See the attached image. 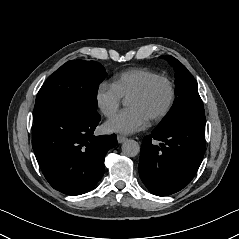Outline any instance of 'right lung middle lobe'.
<instances>
[{"mask_svg": "<svg viewBox=\"0 0 239 239\" xmlns=\"http://www.w3.org/2000/svg\"><path fill=\"white\" fill-rule=\"evenodd\" d=\"M104 67L95 61H68L55 71L38 92L34 122L64 107L97 113V91L106 77Z\"/></svg>", "mask_w": 239, "mask_h": 239, "instance_id": "right-lung-middle-lobe-1", "label": "right lung middle lobe"}]
</instances>
